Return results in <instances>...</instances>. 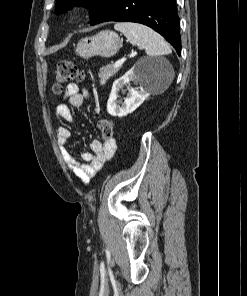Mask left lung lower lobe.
<instances>
[{
  "instance_id": "1",
  "label": "left lung lower lobe",
  "mask_w": 247,
  "mask_h": 296,
  "mask_svg": "<svg viewBox=\"0 0 247 296\" xmlns=\"http://www.w3.org/2000/svg\"><path fill=\"white\" fill-rule=\"evenodd\" d=\"M107 21L136 22L160 33L181 54L176 0H110L91 25Z\"/></svg>"
}]
</instances>
